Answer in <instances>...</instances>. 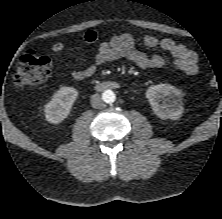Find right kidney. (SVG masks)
I'll return each mask as SVG.
<instances>
[{"instance_id":"1","label":"right kidney","mask_w":222,"mask_h":219,"mask_svg":"<svg viewBox=\"0 0 222 219\" xmlns=\"http://www.w3.org/2000/svg\"><path fill=\"white\" fill-rule=\"evenodd\" d=\"M78 91L73 87H61L44 108L45 118L49 123L58 124L70 114Z\"/></svg>"}]
</instances>
